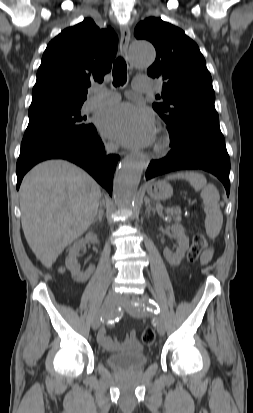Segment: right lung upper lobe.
I'll use <instances>...</instances> for the list:
<instances>
[{"mask_svg":"<svg viewBox=\"0 0 253 413\" xmlns=\"http://www.w3.org/2000/svg\"><path fill=\"white\" fill-rule=\"evenodd\" d=\"M118 38L90 18L63 30L47 46L37 71L29 112L82 105L91 82L111 70Z\"/></svg>","mask_w":253,"mask_h":413,"instance_id":"1","label":"right lung upper lobe"}]
</instances>
